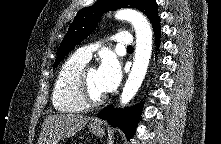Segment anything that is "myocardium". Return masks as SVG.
Listing matches in <instances>:
<instances>
[{
    "instance_id": "obj_1",
    "label": "myocardium",
    "mask_w": 221,
    "mask_h": 144,
    "mask_svg": "<svg viewBox=\"0 0 221 144\" xmlns=\"http://www.w3.org/2000/svg\"><path fill=\"white\" fill-rule=\"evenodd\" d=\"M92 67L85 66L78 75L77 91L81 101L87 106H96L105 100V94L94 95L89 87L88 72Z\"/></svg>"
}]
</instances>
